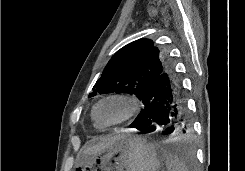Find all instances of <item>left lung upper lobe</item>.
I'll return each mask as SVG.
<instances>
[{
	"instance_id": "left-lung-upper-lobe-1",
	"label": "left lung upper lobe",
	"mask_w": 245,
	"mask_h": 171,
	"mask_svg": "<svg viewBox=\"0 0 245 171\" xmlns=\"http://www.w3.org/2000/svg\"><path fill=\"white\" fill-rule=\"evenodd\" d=\"M163 53L150 39H139L115 53L88 97L121 92L141 100L146 87L167 67Z\"/></svg>"
}]
</instances>
